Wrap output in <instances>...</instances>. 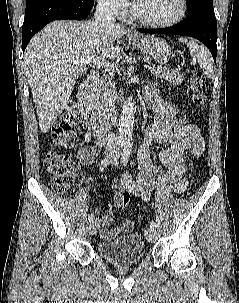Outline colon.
I'll list each match as a JSON object with an SVG mask.
<instances>
[{
  "instance_id": "5ec220e1",
  "label": "colon",
  "mask_w": 239,
  "mask_h": 303,
  "mask_svg": "<svg viewBox=\"0 0 239 303\" xmlns=\"http://www.w3.org/2000/svg\"><path fill=\"white\" fill-rule=\"evenodd\" d=\"M189 86L194 105L201 106L205 102V77L199 70H192L189 75ZM79 124L78 108L69 102L54 126L51 137L53 149L43 161L44 170L51 176V187L57 193H65L73 184L77 163L61 150L71 146ZM121 206H127L130 194L124 192L119 196Z\"/></svg>"
}]
</instances>
